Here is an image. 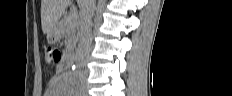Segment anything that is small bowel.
<instances>
[{
  "mask_svg": "<svg viewBox=\"0 0 232 96\" xmlns=\"http://www.w3.org/2000/svg\"><path fill=\"white\" fill-rule=\"evenodd\" d=\"M57 70H60V67H57Z\"/></svg>",
  "mask_w": 232,
  "mask_h": 96,
  "instance_id": "1",
  "label": "small bowel"
}]
</instances>
